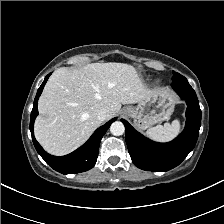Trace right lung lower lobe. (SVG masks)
<instances>
[{
  "mask_svg": "<svg viewBox=\"0 0 224 224\" xmlns=\"http://www.w3.org/2000/svg\"><path fill=\"white\" fill-rule=\"evenodd\" d=\"M50 75L51 73H49L45 77L42 85L39 87L37 91V95L34 100L33 109L31 112L30 131L32 135L33 144L37 152L39 153V155L45 160V162L49 166H51L56 171L62 174H73V173L87 171L95 165L98 152H99L100 141L103 135L105 134V132L108 130V128L112 124V122L116 120V118H113L112 120L107 122L105 125L98 128L90 137V139L83 146H81L74 152L66 156H61V157L52 156L48 154L47 152L43 150L40 144L36 141L34 137V133H33V126H34V120L36 116L38 115V110H37L38 99Z\"/></svg>",
  "mask_w": 224,
  "mask_h": 224,
  "instance_id": "98d812e1",
  "label": "right lung lower lobe"
}]
</instances>
